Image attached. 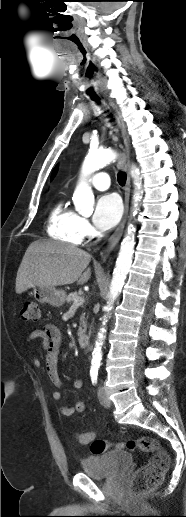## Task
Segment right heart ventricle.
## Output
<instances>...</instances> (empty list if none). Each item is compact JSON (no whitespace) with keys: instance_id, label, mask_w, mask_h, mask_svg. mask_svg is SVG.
<instances>
[{"instance_id":"right-heart-ventricle-1","label":"right heart ventricle","mask_w":186,"mask_h":517,"mask_svg":"<svg viewBox=\"0 0 186 517\" xmlns=\"http://www.w3.org/2000/svg\"><path fill=\"white\" fill-rule=\"evenodd\" d=\"M78 220L79 216L63 200H59L48 216V235L55 240L78 245L83 239L78 229Z\"/></svg>"}]
</instances>
